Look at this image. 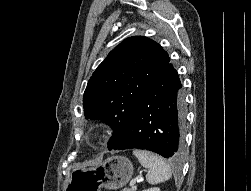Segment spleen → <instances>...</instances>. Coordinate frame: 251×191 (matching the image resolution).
I'll list each match as a JSON object with an SVG mask.
<instances>
[{
  "mask_svg": "<svg viewBox=\"0 0 251 191\" xmlns=\"http://www.w3.org/2000/svg\"><path fill=\"white\" fill-rule=\"evenodd\" d=\"M133 153L138 157L141 165L147 167L146 179L148 183H160V181L170 179L171 167L163 157L152 153V151H146V149H134Z\"/></svg>",
  "mask_w": 251,
  "mask_h": 191,
  "instance_id": "spleen-1",
  "label": "spleen"
}]
</instances>
